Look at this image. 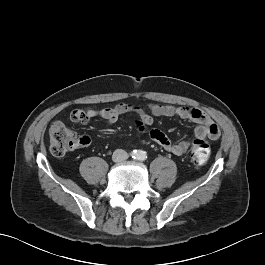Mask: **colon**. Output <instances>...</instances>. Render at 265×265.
Returning <instances> with one entry per match:
<instances>
[{
  "instance_id": "5ec220e1",
  "label": "colon",
  "mask_w": 265,
  "mask_h": 265,
  "mask_svg": "<svg viewBox=\"0 0 265 265\" xmlns=\"http://www.w3.org/2000/svg\"><path fill=\"white\" fill-rule=\"evenodd\" d=\"M50 151L56 157H62L79 144V138L75 132L56 122L49 131ZM210 156L209 144L204 139H195L191 149V157L196 165H203Z\"/></svg>"
}]
</instances>
